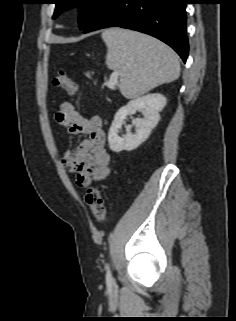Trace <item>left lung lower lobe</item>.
I'll list each match as a JSON object with an SVG mask.
<instances>
[{
  "instance_id": "left-lung-lower-lobe-1",
  "label": "left lung lower lobe",
  "mask_w": 236,
  "mask_h": 321,
  "mask_svg": "<svg viewBox=\"0 0 236 321\" xmlns=\"http://www.w3.org/2000/svg\"><path fill=\"white\" fill-rule=\"evenodd\" d=\"M189 0H110L83 33L121 27L154 36L171 46L186 62V4Z\"/></svg>"
}]
</instances>
